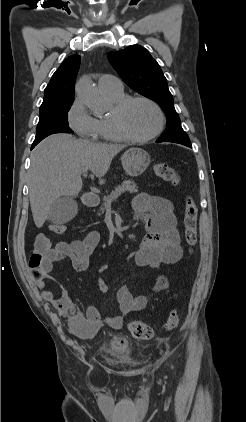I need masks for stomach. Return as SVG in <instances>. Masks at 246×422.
<instances>
[{"label": "stomach", "instance_id": "stomach-1", "mask_svg": "<svg viewBox=\"0 0 246 422\" xmlns=\"http://www.w3.org/2000/svg\"><path fill=\"white\" fill-rule=\"evenodd\" d=\"M124 170L129 176L141 175L149 166L150 156L141 148L131 147L121 157Z\"/></svg>", "mask_w": 246, "mask_h": 422}]
</instances>
